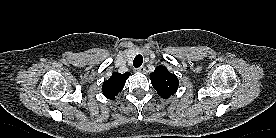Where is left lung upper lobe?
Wrapping results in <instances>:
<instances>
[{
  "label": "left lung upper lobe",
  "mask_w": 276,
  "mask_h": 138,
  "mask_svg": "<svg viewBox=\"0 0 276 138\" xmlns=\"http://www.w3.org/2000/svg\"><path fill=\"white\" fill-rule=\"evenodd\" d=\"M150 79L154 89L164 99H168L178 89L177 76L170 73L165 66L156 67L150 74Z\"/></svg>",
  "instance_id": "5c2ea615"
}]
</instances>
